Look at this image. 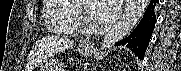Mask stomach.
<instances>
[{
	"mask_svg": "<svg viewBox=\"0 0 181 71\" xmlns=\"http://www.w3.org/2000/svg\"><path fill=\"white\" fill-rule=\"evenodd\" d=\"M79 52L84 57H90L93 53L92 49L90 48H80ZM39 69V71H63V68L57 66V64L54 62H46L42 64Z\"/></svg>",
	"mask_w": 181,
	"mask_h": 71,
	"instance_id": "1",
	"label": "stomach"
}]
</instances>
